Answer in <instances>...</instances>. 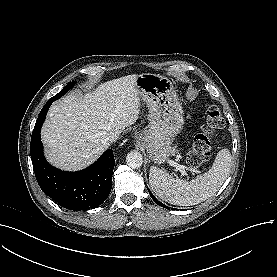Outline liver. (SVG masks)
<instances>
[{
	"mask_svg": "<svg viewBox=\"0 0 277 277\" xmlns=\"http://www.w3.org/2000/svg\"><path fill=\"white\" fill-rule=\"evenodd\" d=\"M137 77L110 80L85 95L76 92L53 103L41 129L47 160L68 171L96 161L109 147L106 137L119 136L139 117Z\"/></svg>",
	"mask_w": 277,
	"mask_h": 277,
	"instance_id": "1",
	"label": "liver"
}]
</instances>
